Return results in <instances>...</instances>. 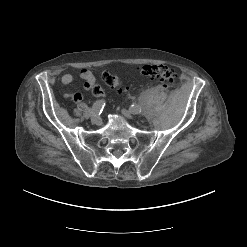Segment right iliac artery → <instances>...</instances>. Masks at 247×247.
<instances>
[{
	"instance_id": "1",
	"label": "right iliac artery",
	"mask_w": 247,
	"mask_h": 247,
	"mask_svg": "<svg viewBox=\"0 0 247 247\" xmlns=\"http://www.w3.org/2000/svg\"><path fill=\"white\" fill-rule=\"evenodd\" d=\"M105 106V101L104 100H98L96 101L92 108L90 109L91 112H93L96 116L100 114Z\"/></svg>"
}]
</instances>
